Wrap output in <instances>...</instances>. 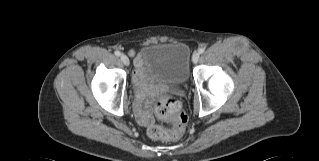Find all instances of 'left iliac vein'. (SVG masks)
I'll use <instances>...</instances> for the list:
<instances>
[{
  "label": "left iliac vein",
  "instance_id": "left-iliac-vein-1",
  "mask_svg": "<svg viewBox=\"0 0 319 161\" xmlns=\"http://www.w3.org/2000/svg\"><path fill=\"white\" fill-rule=\"evenodd\" d=\"M198 60H199V53H198V52H195V53L193 54V56H192V61H193L194 63H196V62H198Z\"/></svg>",
  "mask_w": 319,
  "mask_h": 161
}]
</instances>
